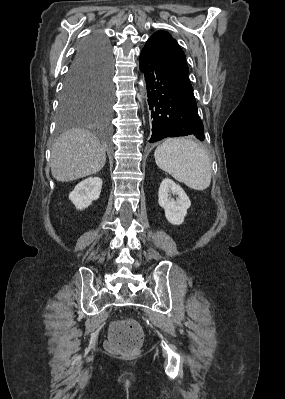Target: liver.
Returning <instances> with one entry per match:
<instances>
[{
  "label": "liver",
  "instance_id": "6515ba94",
  "mask_svg": "<svg viewBox=\"0 0 285 399\" xmlns=\"http://www.w3.org/2000/svg\"><path fill=\"white\" fill-rule=\"evenodd\" d=\"M105 162V147L88 130H68L52 146L50 166L57 181L68 182L93 175Z\"/></svg>",
  "mask_w": 285,
  "mask_h": 399
}]
</instances>
